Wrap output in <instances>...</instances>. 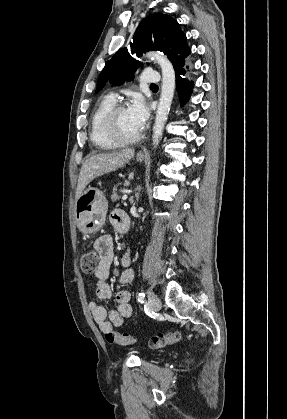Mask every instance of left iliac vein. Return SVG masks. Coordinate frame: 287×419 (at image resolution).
<instances>
[{"label":"left iliac vein","instance_id":"4c4485c4","mask_svg":"<svg viewBox=\"0 0 287 419\" xmlns=\"http://www.w3.org/2000/svg\"><path fill=\"white\" fill-rule=\"evenodd\" d=\"M148 305L154 312H158L162 306L160 299L151 292L148 293Z\"/></svg>","mask_w":287,"mask_h":419}]
</instances>
